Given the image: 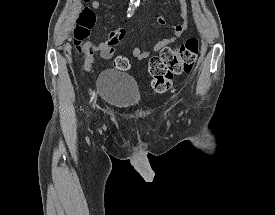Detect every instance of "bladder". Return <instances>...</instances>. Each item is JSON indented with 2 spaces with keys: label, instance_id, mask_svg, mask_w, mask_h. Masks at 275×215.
<instances>
[{
  "label": "bladder",
  "instance_id": "obj_1",
  "mask_svg": "<svg viewBox=\"0 0 275 215\" xmlns=\"http://www.w3.org/2000/svg\"><path fill=\"white\" fill-rule=\"evenodd\" d=\"M97 88L103 101L114 108L127 110L140 102V93L135 80L115 70L102 71Z\"/></svg>",
  "mask_w": 275,
  "mask_h": 215
}]
</instances>
